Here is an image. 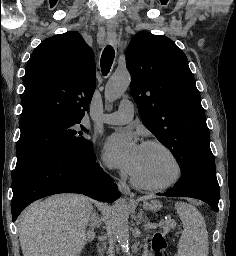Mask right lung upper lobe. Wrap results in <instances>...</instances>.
I'll return each instance as SVG.
<instances>
[{
	"instance_id": "cb5924a9",
	"label": "right lung upper lobe",
	"mask_w": 236,
	"mask_h": 256,
	"mask_svg": "<svg viewBox=\"0 0 236 256\" xmlns=\"http://www.w3.org/2000/svg\"><path fill=\"white\" fill-rule=\"evenodd\" d=\"M23 83L20 118L51 112L82 119L96 86L93 52L77 32L50 37L32 53Z\"/></svg>"
}]
</instances>
